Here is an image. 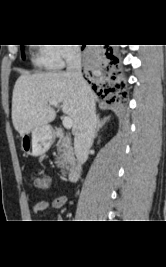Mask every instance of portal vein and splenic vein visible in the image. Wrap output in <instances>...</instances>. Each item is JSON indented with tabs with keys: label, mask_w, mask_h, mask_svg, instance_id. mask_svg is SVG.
I'll list each match as a JSON object with an SVG mask.
<instances>
[{
	"label": "portal vein and splenic vein",
	"mask_w": 166,
	"mask_h": 267,
	"mask_svg": "<svg viewBox=\"0 0 166 267\" xmlns=\"http://www.w3.org/2000/svg\"><path fill=\"white\" fill-rule=\"evenodd\" d=\"M49 104L54 106V107L59 108L58 103L55 102V101H49ZM72 124H73V122H72L71 117L66 116V117L63 118V126H64V128L70 129L72 127Z\"/></svg>",
	"instance_id": "obj_1"
}]
</instances>
